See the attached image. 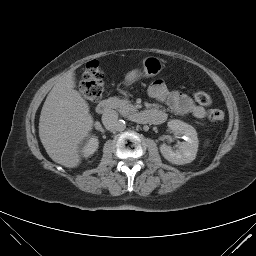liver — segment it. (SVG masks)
Masks as SVG:
<instances>
[{
	"label": "liver",
	"instance_id": "liver-1",
	"mask_svg": "<svg viewBox=\"0 0 256 256\" xmlns=\"http://www.w3.org/2000/svg\"><path fill=\"white\" fill-rule=\"evenodd\" d=\"M75 86L73 71L62 76L48 94L39 119V137L47 154L69 168L80 164L79 147L94 122L87 101Z\"/></svg>",
	"mask_w": 256,
	"mask_h": 256
}]
</instances>
